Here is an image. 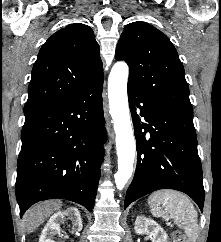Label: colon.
Returning a JSON list of instances; mask_svg holds the SVG:
<instances>
[{"mask_svg":"<svg viewBox=\"0 0 221 242\" xmlns=\"http://www.w3.org/2000/svg\"><path fill=\"white\" fill-rule=\"evenodd\" d=\"M171 242H189L182 230L176 229L172 233Z\"/></svg>","mask_w":221,"mask_h":242,"instance_id":"colon-1","label":"colon"}]
</instances>
